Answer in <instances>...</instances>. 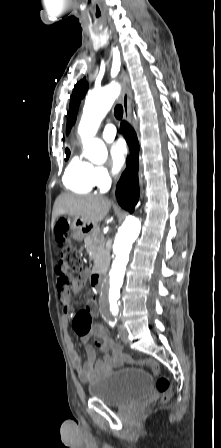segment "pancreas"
<instances>
[{
  "instance_id": "cf45deb5",
  "label": "pancreas",
  "mask_w": 221,
  "mask_h": 448,
  "mask_svg": "<svg viewBox=\"0 0 221 448\" xmlns=\"http://www.w3.org/2000/svg\"><path fill=\"white\" fill-rule=\"evenodd\" d=\"M85 248L91 254L95 269L104 271L109 265V254L105 249V240L98 231H93L84 240Z\"/></svg>"
}]
</instances>
